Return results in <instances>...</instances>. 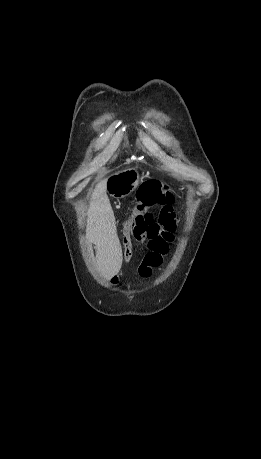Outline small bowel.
<instances>
[{"instance_id":"obj_1","label":"small bowel","mask_w":261,"mask_h":459,"mask_svg":"<svg viewBox=\"0 0 261 459\" xmlns=\"http://www.w3.org/2000/svg\"><path fill=\"white\" fill-rule=\"evenodd\" d=\"M173 237V234H160L159 238H139L135 233L132 241L144 244L147 249V253L138 267V273L142 278H149L153 269L161 265L164 255L168 253L169 244ZM113 281L116 282V280Z\"/></svg>"}]
</instances>
